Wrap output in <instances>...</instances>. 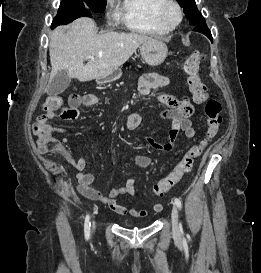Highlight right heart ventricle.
Masks as SVG:
<instances>
[{"label":"right heart ventricle","mask_w":261,"mask_h":273,"mask_svg":"<svg viewBox=\"0 0 261 273\" xmlns=\"http://www.w3.org/2000/svg\"><path fill=\"white\" fill-rule=\"evenodd\" d=\"M162 0H117L114 17L132 32L147 35H166L170 30L163 27L156 17Z\"/></svg>","instance_id":"e07e8e85"}]
</instances>
